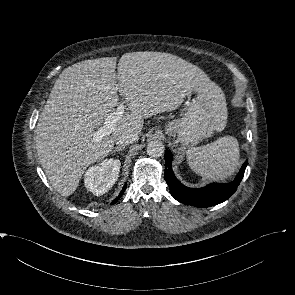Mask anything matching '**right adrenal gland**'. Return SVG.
<instances>
[{"instance_id":"1","label":"right adrenal gland","mask_w":295,"mask_h":295,"mask_svg":"<svg viewBox=\"0 0 295 295\" xmlns=\"http://www.w3.org/2000/svg\"><path fill=\"white\" fill-rule=\"evenodd\" d=\"M124 149H125L124 146H117V147H115L114 150H112L111 154H113L114 152L123 151Z\"/></svg>"}]
</instances>
